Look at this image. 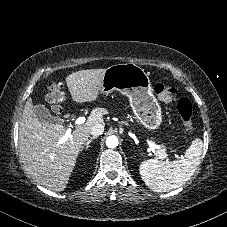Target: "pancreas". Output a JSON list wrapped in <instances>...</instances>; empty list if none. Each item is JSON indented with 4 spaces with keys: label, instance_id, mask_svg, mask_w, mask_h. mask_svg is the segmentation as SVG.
<instances>
[{
    "label": "pancreas",
    "instance_id": "pancreas-1",
    "mask_svg": "<svg viewBox=\"0 0 227 227\" xmlns=\"http://www.w3.org/2000/svg\"><path fill=\"white\" fill-rule=\"evenodd\" d=\"M164 153H165V149L162 148L161 150H159V151L157 152V155H158V157L163 158V154H164Z\"/></svg>",
    "mask_w": 227,
    "mask_h": 227
}]
</instances>
